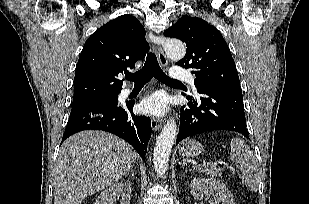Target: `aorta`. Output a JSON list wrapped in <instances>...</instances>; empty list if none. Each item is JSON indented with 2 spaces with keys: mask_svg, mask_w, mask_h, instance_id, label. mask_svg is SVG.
Returning a JSON list of instances; mask_svg holds the SVG:
<instances>
[{
  "mask_svg": "<svg viewBox=\"0 0 309 204\" xmlns=\"http://www.w3.org/2000/svg\"><path fill=\"white\" fill-rule=\"evenodd\" d=\"M165 52L168 58L180 60L185 56V45L179 40H170L165 46ZM177 135V124L173 119L167 121L160 135L157 138L154 152L153 164L155 171L159 176H164L167 168L169 156Z\"/></svg>",
  "mask_w": 309,
  "mask_h": 204,
  "instance_id": "762f6f07",
  "label": "aorta"
}]
</instances>
